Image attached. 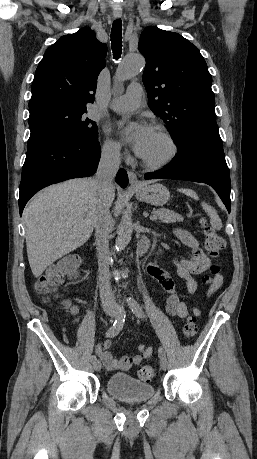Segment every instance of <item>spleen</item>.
I'll use <instances>...</instances> for the list:
<instances>
[{
    "mask_svg": "<svg viewBox=\"0 0 257 459\" xmlns=\"http://www.w3.org/2000/svg\"><path fill=\"white\" fill-rule=\"evenodd\" d=\"M179 191L186 194L187 196H190L191 198H194L195 200H198V195L191 189H180ZM201 205L203 210L208 214L210 218V224L212 228L215 230H220L222 228V221L215 208L205 202H202Z\"/></svg>",
    "mask_w": 257,
    "mask_h": 459,
    "instance_id": "spleen-1",
    "label": "spleen"
}]
</instances>
